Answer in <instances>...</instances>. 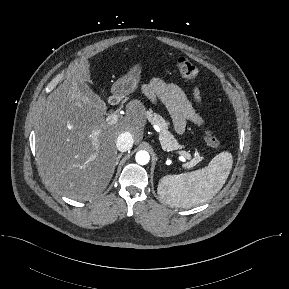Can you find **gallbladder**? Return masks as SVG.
Returning <instances> with one entry per match:
<instances>
[{"label": "gallbladder", "instance_id": "gallbladder-1", "mask_svg": "<svg viewBox=\"0 0 289 289\" xmlns=\"http://www.w3.org/2000/svg\"><path fill=\"white\" fill-rule=\"evenodd\" d=\"M80 89L85 92V93H90L91 90H89L86 86H79ZM92 96V101L93 103L99 108V109H104L105 108V103L99 98L98 95L96 94H91Z\"/></svg>", "mask_w": 289, "mask_h": 289}]
</instances>
